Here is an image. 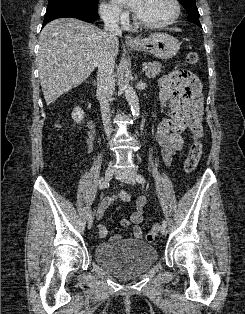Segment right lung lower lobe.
I'll list each match as a JSON object with an SVG mask.
<instances>
[{"mask_svg": "<svg viewBox=\"0 0 245 314\" xmlns=\"http://www.w3.org/2000/svg\"><path fill=\"white\" fill-rule=\"evenodd\" d=\"M64 17H73L86 22H94L99 19L97 11L70 6L54 7L46 10L42 27L54 19Z\"/></svg>", "mask_w": 245, "mask_h": 314, "instance_id": "right-lung-lower-lobe-1", "label": "right lung lower lobe"}]
</instances>
